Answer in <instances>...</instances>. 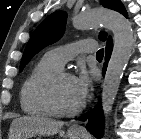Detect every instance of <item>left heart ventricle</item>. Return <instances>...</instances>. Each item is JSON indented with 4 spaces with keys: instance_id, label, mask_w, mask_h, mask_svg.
I'll use <instances>...</instances> for the list:
<instances>
[{
    "instance_id": "left-heart-ventricle-1",
    "label": "left heart ventricle",
    "mask_w": 141,
    "mask_h": 139,
    "mask_svg": "<svg viewBox=\"0 0 141 139\" xmlns=\"http://www.w3.org/2000/svg\"><path fill=\"white\" fill-rule=\"evenodd\" d=\"M55 98L58 107L63 110L72 109L82 102L77 95L73 77H64L58 82Z\"/></svg>"
}]
</instances>
